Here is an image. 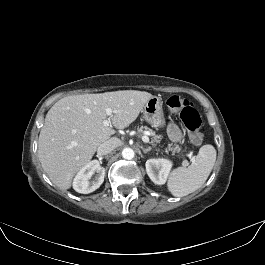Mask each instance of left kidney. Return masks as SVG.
Returning <instances> with one entry per match:
<instances>
[{"instance_id":"left-kidney-1","label":"left kidney","mask_w":265,"mask_h":265,"mask_svg":"<svg viewBox=\"0 0 265 265\" xmlns=\"http://www.w3.org/2000/svg\"><path fill=\"white\" fill-rule=\"evenodd\" d=\"M145 166L151 181L157 185H163L170 173L172 162L163 158L149 159L146 161Z\"/></svg>"}]
</instances>
